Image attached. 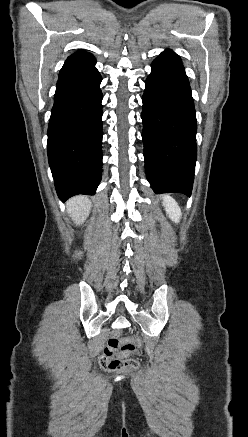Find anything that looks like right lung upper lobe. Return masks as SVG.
Returning <instances> with one entry per match:
<instances>
[{
	"mask_svg": "<svg viewBox=\"0 0 248 437\" xmlns=\"http://www.w3.org/2000/svg\"><path fill=\"white\" fill-rule=\"evenodd\" d=\"M84 55H91L90 53L84 52L82 50H79L77 53L72 54L70 57L73 56H84Z\"/></svg>",
	"mask_w": 248,
	"mask_h": 437,
	"instance_id": "right-lung-upper-lobe-1",
	"label": "right lung upper lobe"
}]
</instances>
